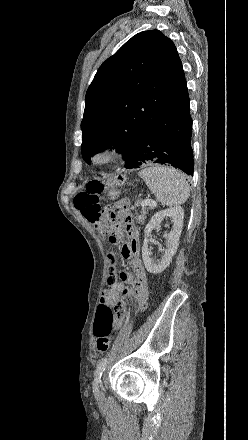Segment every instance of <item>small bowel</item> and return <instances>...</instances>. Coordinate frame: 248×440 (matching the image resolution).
Here are the masks:
<instances>
[{"instance_id": "c3829d8e", "label": "small bowel", "mask_w": 248, "mask_h": 440, "mask_svg": "<svg viewBox=\"0 0 248 440\" xmlns=\"http://www.w3.org/2000/svg\"><path fill=\"white\" fill-rule=\"evenodd\" d=\"M114 225L115 233L118 237L125 232L129 238V241L123 244L121 254L123 258L131 259V270L129 272H122L120 277L123 282L131 285V289H126L120 284V279L116 276L120 261L118 257H111L109 266L106 268L108 275L105 279L110 289L102 292L100 303H105L115 310L113 328L119 329L123 324L126 314L125 297L128 295L133 296L139 309H145L149 294V283L145 268L140 259L141 243L139 233L132 222L127 203H123L114 216ZM131 313L135 316L138 312L134 309Z\"/></svg>"}]
</instances>
